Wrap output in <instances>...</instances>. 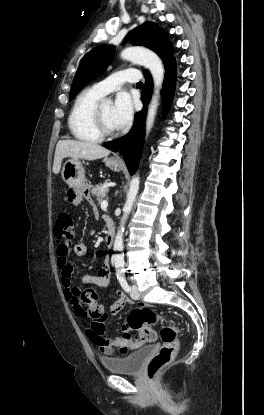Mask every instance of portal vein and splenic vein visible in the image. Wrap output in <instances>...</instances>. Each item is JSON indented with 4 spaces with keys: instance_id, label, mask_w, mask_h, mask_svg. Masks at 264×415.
Here are the masks:
<instances>
[{
    "instance_id": "1",
    "label": "portal vein and splenic vein",
    "mask_w": 264,
    "mask_h": 415,
    "mask_svg": "<svg viewBox=\"0 0 264 415\" xmlns=\"http://www.w3.org/2000/svg\"><path fill=\"white\" fill-rule=\"evenodd\" d=\"M107 206H108V201L104 199V200L101 202V208H102V209H105V208H107Z\"/></svg>"
}]
</instances>
